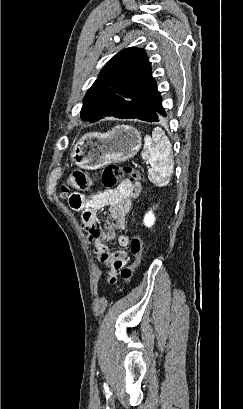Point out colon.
Wrapping results in <instances>:
<instances>
[{"label":"colon","instance_id":"5ec220e1","mask_svg":"<svg viewBox=\"0 0 243 409\" xmlns=\"http://www.w3.org/2000/svg\"><path fill=\"white\" fill-rule=\"evenodd\" d=\"M124 176H127L128 181L131 183H137L141 179L138 171L129 167H121L116 164H106L101 170L102 182L107 188L115 187ZM90 187L91 178L88 173L76 170L61 185L60 191L64 197L68 198L70 205L77 206L78 201L74 198V194H69L70 190L87 191ZM130 248L133 259L129 265L124 266L120 270V276L126 283L131 281L133 272L141 261L142 239L140 236H136L132 239Z\"/></svg>","mask_w":243,"mask_h":409}]
</instances>
